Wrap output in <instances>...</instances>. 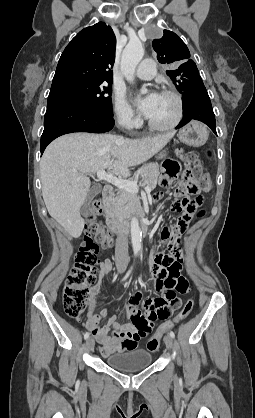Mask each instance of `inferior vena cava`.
<instances>
[{"mask_svg":"<svg viewBox=\"0 0 255 418\" xmlns=\"http://www.w3.org/2000/svg\"><path fill=\"white\" fill-rule=\"evenodd\" d=\"M115 259L119 262L129 261L128 237L122 230H120L116 239Z\"/></svg>","mask_w":255,"mask_h":418,"instance_id":"obj_1","label":"inferior vena cava"}]
</instances>
